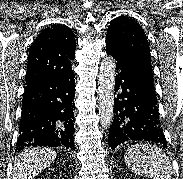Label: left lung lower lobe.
Returning a JSON list of instances; mask_svg holds the SVG:
<instances>
[{
    "mask_svg": "<svg viewBox=\"0 0 183 179\" xmlns=\"http://www.w3.org/2000/svg\"><path fill=\"white\" fill-rule=\"evenodd\" d=\"M106 53L116 59L114 120L108 142L115 149L129 140L166 143L154 87L144 66L106 40ZM115 95V93H114Z\"/></svg>",
    "mask_w": 183,
    "mask_h": 179,
    "instance_id": "0a47b994",
    "label": "left lung lower lobe"
}]
</instances>
